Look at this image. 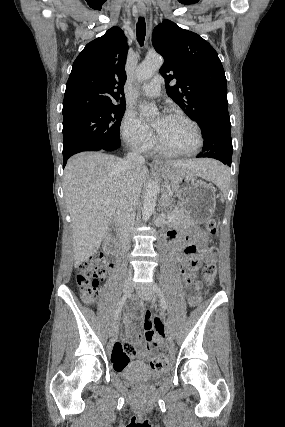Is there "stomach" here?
Returning a JSON list of instances; mask_svg holds the SVG:
<instances>
[{
  "label": "stomach",
  "instance_id": "0dacf381",
  "mask_svg": "<svg viewBox=\"0 0 285 427\" xmlns=\"http://www.w3.org/2000/svg\"><path fill=\"white\" fill-rule=\"evenodd\" d=\"M161 171L172 192L181 200L186 218L194 223L209 220L216 207L214 189L197 179V175L188 169H175L163 165Z\"/></svg>",
  "mask_w": 285,
  "mask_h": 427
}]
</instances>
